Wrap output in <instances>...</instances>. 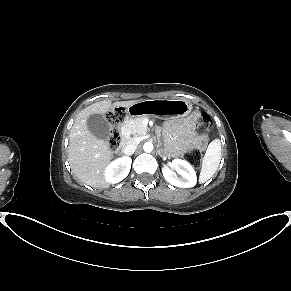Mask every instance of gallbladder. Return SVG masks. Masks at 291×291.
Returning a JSON list of instances; mask_svg holds the SVG:
<instances>
[{
    "label": "gallbladder",
    "instance_id": "obj_1",
    "mask_svg": "<svg viewBox=\"0 0 291 291\" xmlns=\"http://www.w3.org/2000/svg\"><path fill=\"white\" fill-rule=\"evenodd\" d=\"M88 130L98 139L107 141L110 135V126L101 114H92L87 119Z\"/></svg>",
    "mask_w": 291,
    "mask_h": 291
}]
</instances>
